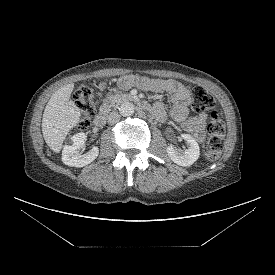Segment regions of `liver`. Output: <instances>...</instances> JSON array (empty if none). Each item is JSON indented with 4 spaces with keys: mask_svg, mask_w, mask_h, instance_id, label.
Wrapping results in <instances>:
<instances>
[{
    "mask_svg": "<svg viewBox=\"0 0 275 275\" xmlns=\"http://www.w3.org/2000/svg\"><path fill=\"white\" fill-rule=\"evenodd\" d=\"M74 85L59 88L49 99L42 118V133L48 147L59 153L69 131L81 121V111L70 100Z\"/></svg>",
    "mask_w": 275,
    "mask_h": 275,
    "instance_id": "liver-1",
    "label": "liver"
}]
</instances>
